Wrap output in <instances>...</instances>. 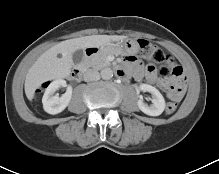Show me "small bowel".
<instances>
[{"instance_id": "small-bowel-1", "label": "small bowel", "mask_w": 219, "mask_h": 174, "mask_svg": "<svg viewBox=\"0 0 219 174\" xmlns=\"http://www.w3.org/2000/svg\"><path fill=\"white\" fill-rule=\"evenodd\" d=\"M168 64L171 68L177 66L171 58L168 59ZM118 72L122 77H126L131 73L134 74L136 78H141L142 76V68L136 63V60L133 56H128L125 58L124 64ZM146 76L150 82H157L161 86L168 88L166 90V98L169 101H178L182 98L186 88L184 74L180 78L171 77L170 79H159L157 78L153 68H149Z\"/></svg>"}]
</instances>
